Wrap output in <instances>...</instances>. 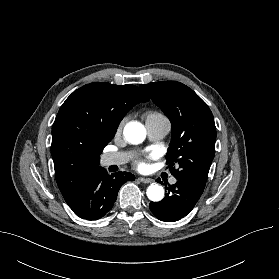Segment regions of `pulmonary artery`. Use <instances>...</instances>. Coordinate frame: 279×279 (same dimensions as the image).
Returning <instances> with one entry per match:
<instances>
[{
    "mask_svg": "<svg viewBox=\"0 0 279 279\" xmlns=\"http://www.w3.org/2000/svg\"><path fill=\"white\" fill-rule=\"evenodd\" d=\"M170 127L171 125L167 118L146 122L148 137L153 141L163 139L170 131ZM129 158L130 154L127 152H116L105 154L101 161L103 166L121 165L127 162ZM176 181L174 177L170 179L171 184H175Z\"/></svg>",
    "mask_w": 279,
    "mask_h": 279,
    "instance_id": "1",
    "label": "pulmonary artery"
}]
</instances>
